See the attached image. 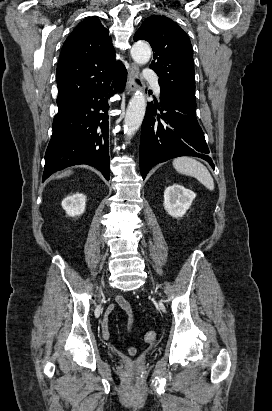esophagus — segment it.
Here are the masks:
<instances>
[{"instance_id":"34e87169","label":"esophagus","mask_w":272,"mask_h":411,"mask_svg":"<svg viewBox=\"0 0 272 411\" xmlns=\"http://www.w3.org/2000/svg\"><path fill=\"white\" fill-rule=\"evenodd\" d=\"M139 75V68L136 64L132 63L129 72H128V77H127V83H126V91L127 94H130L136 90V78Z\"/></svg>"}]
</instances>
